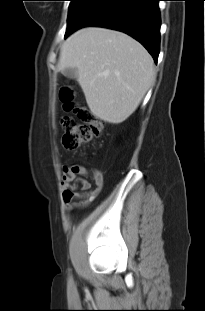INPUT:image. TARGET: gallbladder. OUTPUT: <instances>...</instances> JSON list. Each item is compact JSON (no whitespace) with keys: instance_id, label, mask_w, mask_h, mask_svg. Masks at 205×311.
<instances>
[{"instance_id":"1","label":"gallbladder","mask_w":205,"mask_h":311,"mask_svg":"<svg viewBox=\"0 0 205 311\" xmlns=\"http://www.w3.org/2000/svg\"><path fill=\"white\" fill-rule=\"evenodd\" d=\"M63 75L68 77V78H76L77 77V70L76 69H72V68H66L63 70Z\"/></svg>"}]
</instances>
